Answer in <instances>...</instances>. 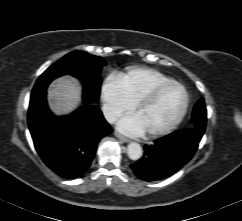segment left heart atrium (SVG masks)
<instances>
[{
  "instance_id": "obj_1",
  "label": "left heart atrium",
  "mask_w": 242,
  "mask_h": 221,
  "mask_svg": "<svg viewBox=\"0 0 242 221\" xmlns=\"http://www.w3.org/2000/svg\"><path fill=\"white\" fill-rule=\"evenodd\" d=\"M118 129L126 134L141 135L145 131L135 115L123 117L117 124Z\"/></svg>"
}]
</instances>
